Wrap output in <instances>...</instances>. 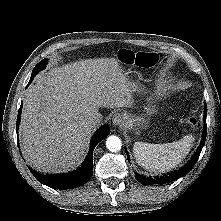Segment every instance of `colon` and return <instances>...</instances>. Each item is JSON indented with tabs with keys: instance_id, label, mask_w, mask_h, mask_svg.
<instances>
[{
	"instance_id": "obj_1",
	"label": "colon",
	"mask_w": 221,
	"mask_h": 221,
	"mask_svg": "<svg viewBox=\"0 0 221 221\" xmlns=\"http://www.w3.org/2000/svg\"><path fill=\"white\" fill-rule=\"evenodd\" d=\"M119 56L124 63L135 64L142 68L152 67L158 61V58L155 54L147 52L134 53L129 50H122ZM185 122L189 126H194L196 124V119L193 116H189L185 119Z\"/></svg>"
}]
</instances>
